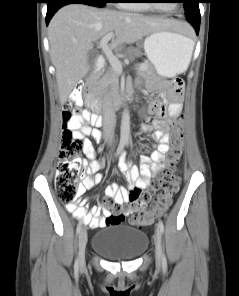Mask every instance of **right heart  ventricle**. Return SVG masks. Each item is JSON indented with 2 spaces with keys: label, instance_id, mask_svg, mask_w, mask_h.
<instances>
[{
  "label": "right heart ventricle",
  "instance_id": "1",
  "mask_svg": "<svg viewBox=\"0 0 239 296\" xmlns=\"http://www.w3.org/2000/svg\"><path fill=\"white\" fill-rule=\"evenodd\" d=\"M137 1L141 0H120L117 4V7L124 9H135V10H148V6L144 3H137Z\"/></svg>",
  "mask_w": 239,
  "mask_h": 296
}]
</instances>
